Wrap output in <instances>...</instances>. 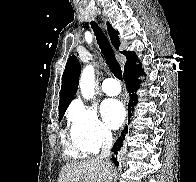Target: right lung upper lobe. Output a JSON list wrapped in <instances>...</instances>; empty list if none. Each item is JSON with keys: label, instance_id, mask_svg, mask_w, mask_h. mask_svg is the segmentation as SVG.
I'll use <instances>...</instances> for the list:
<instances>
[{"label": "right lung upper lobe", "instance_id": "obj_1", "mask_svg": "<svg viewBox=\"0 0 196 182\" xmlns=\"http://www.w3.org/2000/svg\"><path fill=\"white\" fill-rule=\"evenodd\" d=\"M107 26L111 42L113 46L118 49L120 45L118 32L114 30L109 23H107ZM121 53L124 54L127 58V63L125 64L124 69L137 60V56L134 52L122 51ZM80 72L81 68L78 59L74 55L70 56L66 63V67L62 76L59 116L64 115L67 107L74 98V95L78 88Z\"/></svg>", "mask_w": 196, "mask_h": 182}]
</instances>
